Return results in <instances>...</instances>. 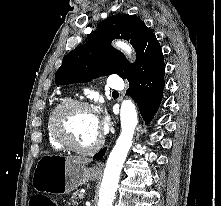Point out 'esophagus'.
I'll return each mask as SVG.
<instances>
[{"mask_svg":"<svg viewBox=\"0 0 221 206\" xmlns=\"http://www.w3.org/2000/svg\"><path fill=\"white\" fill-rule=\"evenodd\" d=\"M103 166H104L103 163H98V164L95 166V169H96V170H101V169H103Z\"/></svg>","mask_w":221,"mask_h":206,"instance_id":"1","label":"esophagus"}]
</instances>
